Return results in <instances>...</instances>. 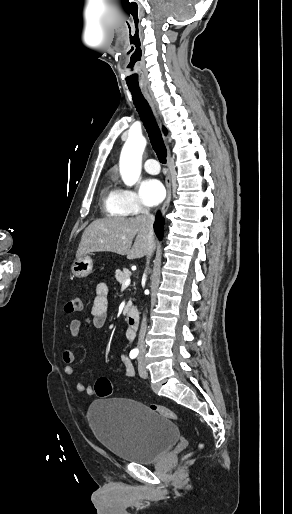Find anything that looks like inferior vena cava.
<instances>
[{
    "mask_svg": "<svg viewBox=\"0 0 292 514\" xmlns=\"http://www.w3.org/2000/svg\"><path fill=\"white\" fill-rule=\"evenodd\" d=\"M142 214H144V218H145V228H146V232H147V236H148V240H149V250H148V254H147V266L149 264V258L150 256H152V252H153V240H154V230H153V224H154V216H152V214H149L148 210H143ZM146 330H147V322H146V318L144 316L143 320H142V324H141V328H140V332H139V338H138V350H139V356H142V354H145V348H144V338H145V334H146Z\"/></svg>",
    "mask_w": 292,
    "mask_h": 514,
    "instance_id": "inferior-vena-cava-1",
    "label": "inferior vena cava"
}]
</instances>
